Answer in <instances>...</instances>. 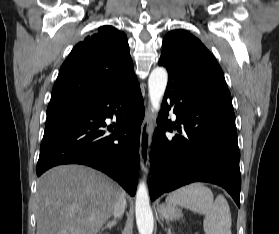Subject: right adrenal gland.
Returning a JSON list of instances; mask_svg holds the SVG:
<instances>
[{
    "label": "right adrenal gland",
    "instance_id": "right-adrenal-gland-1",
    "mask_svg": "<svg viewBox=\"0 0 279 234\" xmlns=\"http://www.w3.org/2000/svg\"><path fill=\"white\" fill-rule=\"evenodd\" d=\"M117 224V219L114 218L112 221L108 222L107 225L102 228V230L106 229V228H109L111 229L112 227H114L115 225Z\"/></svg>",
    "mask_w": 279,
    "mask_h": 234
}]
</instances>
